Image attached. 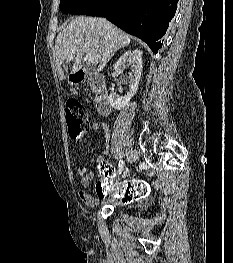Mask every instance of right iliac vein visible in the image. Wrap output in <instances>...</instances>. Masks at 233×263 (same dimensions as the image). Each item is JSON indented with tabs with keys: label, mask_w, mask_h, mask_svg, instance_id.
<instances>
[{
	"label": "right iliac vein",
	"mask_w": 233,
	"mask_h": 263,
	"mask_svg": "<svg viewBox=\"0 0 233 263\" xmlns=\"http://www.w3.org/2000/svg\"><path fill=\"white\" fill-rule=\"evenodd\" d=\"M136 159H137V152L135 150H130L127 156L128 163L132 164L136 161ZM125 174H127V172Z\"/></svg>",
	"instance_id": "obj_1"
}]
</instances>
